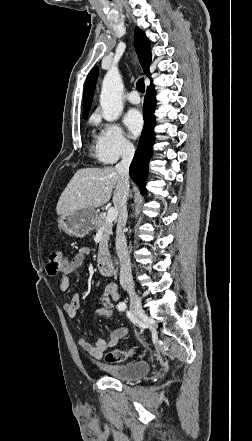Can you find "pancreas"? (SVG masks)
I'll return each mask as SVG.
<instances>
[{
  "label": "pancreas",
  "instance_id": "obj_1",
  "mask_svg": "<svg viewBox=\"0 0 252 441\" xmlns=\"http://www.w3.org/2000/svg\"><path fill=\"white\" fill-rule=\"evenodd\" d=\"M94 228L96 229V231L102 230V236L99 243V252L97 259L98 262H101L104 258L109 256L108 242L110 236L112 235L113 224L106 223L105 214L100 213L99 216H97Z\"/></svg>",
  "mask_w": 252,
  "mask_h": 441
}]
</instances>
